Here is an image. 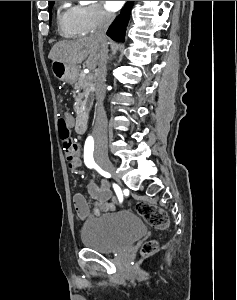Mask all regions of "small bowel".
Wrapping results in <instances>:
<instances>
[{
  "label": "small bowel",
  "instance_id": "1",
  "mask_svg": "<svg viewBox=\"0 0 237 300\" xmlns=\"http://www.w3.org/2000/svg\"><path fill=\"white\" fill-rule=\"evenodd\" d=\"M64 119L69 128L73 127L74 118L70 114H66ZM65 157L70 169H77L83 165V153L79 144L69 151H65ZM88 191L94 201L93 209L96 214L115 209L113 193L108 181L101 180L99 183L91 181L88 185ZM73 205L81 220L89 215V203L81 193H76L73 196Z\"/></svg>",
  "mask_w": 237,
  "mask_h": 300
}]
</instances>
